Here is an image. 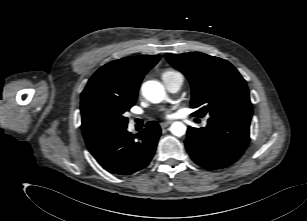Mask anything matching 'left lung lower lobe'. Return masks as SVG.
I'll use <instances>...</instances> for the list:
<instances>
[{
    "label": "left lung lower lobe",
    "mask_w": 307,
    "mask_h": 221,
    "mask_svg": "<svg viewBox=\"0 0 307 221\" xmlns=\"http://www.w3.org/2000/svg\"><path fill=\"white\" fill-rule=\"evenodd\" d=\"M250 118L236 115L210 117L204 128L189 127L185 147L198 165L208 170L235 163L249 144Z\"/></svg>",
    "instance_id": "left-lung-lower-lobe-1"
}]
</instances>
